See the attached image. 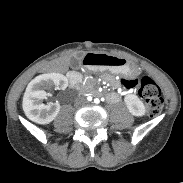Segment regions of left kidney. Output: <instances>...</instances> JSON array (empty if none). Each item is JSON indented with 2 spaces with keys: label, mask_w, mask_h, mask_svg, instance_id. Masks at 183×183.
<instances>
[{
  "label": "left kidney",
  "mask_w": 183,
  "mask_h": 183,
  "mask_svg": "<svg viewBox=\"0 0 183 183\" xmlns=\"http://www.w3.org/2000/svg\"><path fill=\"white\" fill-rule=\"evenodd\" d=\"M125 104L129 112L136 117H142L146 113L144 103L134 94H128L125 96Z\"/></svg>",
  "instance_id": "obj_1"
}]
</instances>
